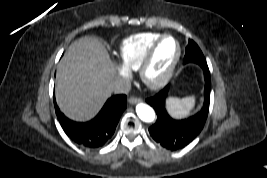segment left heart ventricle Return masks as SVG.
<instances>
[{
  "label": "left heart ventricle",
  "mask_w": 267,
  "mask_h": 178,
  "mask_svg": "<svg viewBox=\"0 0 267 178\" xmlns=\"http://www.w3.org/2000/svg\"><path fill=\"white\" fill-rule=\"evenodd\" d=\"M177 53V45L173 39H165L158 47L147 70V77L151 81L159 80L170 67Z\"/></svg>",
  "instance_id": "left-heart-ventricle-1"
}]
</instances>
